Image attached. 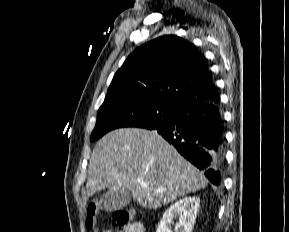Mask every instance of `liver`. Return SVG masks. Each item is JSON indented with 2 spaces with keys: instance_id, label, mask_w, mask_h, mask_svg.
<instances>
[{
  "instance_id": "1",
  "label": "liver",
  "mask_w": 289,
  "mask_h": 232,
  "mask_svg": "<svg viewBox=\"0 0 289 232\" xmlns=\"http://www.w3.org/2000/svg\"><path fill=\"white\" fill-rule=\"evenodd\" d=\"M88 174L87 197L105 188L128 191L149 209L195 193L208 183L156 131L138 128H121L103 136L93 149Z\"/></svg>"
}]
</instances>
